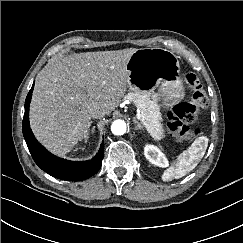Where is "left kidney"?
Returning <instances> with one entry per match:
<instances>
[{"instance_id": "left-kidney-1", "label": "left kidney", "mask_w": 243, "mask_h": 243, "mask_svg": "<svg viewBox=\"0 0 243 243\" xmlns=\"http://www.w3.org/2000/svg\"><path fill=\"white\" fill-rule=\"evenodd\" d=\"M144 154L148 161L156 166L167 167L169 165L167 158L157 146L146 145Z\"/></svg>"}]
</instances>
